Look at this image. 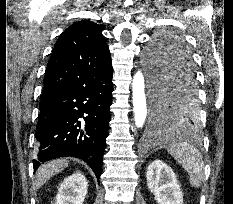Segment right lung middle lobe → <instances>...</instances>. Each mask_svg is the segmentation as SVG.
Listing matches in <instances>:
<instances>
[{"instance_id": "right-lung-middle-lobe-1", "label": "right lung middle lobe", "mask_w": 233, "mask_h": 204, "mask_svg": "<svg viewBox=\"0 0 233 204\" xmlns=\"http://www.w3.org/2000/svg\"><path fill=\"white\" fill-rule=\"evenodd\" d=\"M54 119L53 115H46L40 112L37 128H36V135L40 134L44 129H46L52 120Z\"/></svg>"}]
</instances>
